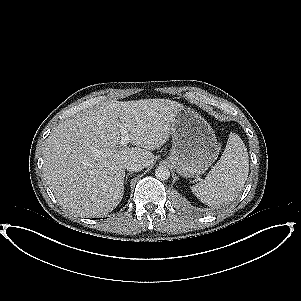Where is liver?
Segmentation results:
<instances>
[{
    "label": "liver",
    "mask_w": 301,
    "mask_h": 301,
    "mask_svg": "<svg viewBox=\"0 0 301 301\" xmlns=\"http://www.w3.org/2000/svg\"><path fill=\"white\" fill-rule=\"evenodd\" d=\"M183 106L175 101L109 102L56 127L43 148V172L57 200L84 216L111 212L124 194L125 165L149 167ZM135 147L120 146L122 136Z\"/></svg>",
    "instance_id": "1"
}]
</instances>
